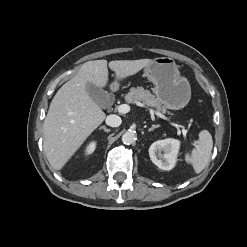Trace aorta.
<instances>
[{"label":"aorta","mask_w":247,"mask_h":247,"mask_svg":"<svg viewBox=\"0 0 247 247\" xmlns=\"http://www.w3.org/2000/svg\"><path fill=\"white\" fill-rule=\"evenodd\" d=\"M136 139V133L132 130H128L122 135V142L126 145L133 144L136 141Z\"/></svg>","instance_id":"aorta-1"}]
</instances>
